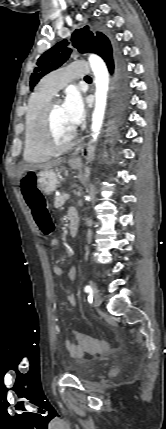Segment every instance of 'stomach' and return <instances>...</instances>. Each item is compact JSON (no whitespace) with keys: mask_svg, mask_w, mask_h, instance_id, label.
Returning <instances> with one entry per match:
<instances>
[{"mask_svg":"<svg viewBox=\"0 0 166 429\" xmlns=\"http://www.w3.org/2000/svg\"><path fill=\"white\" fill-rule=\"evenodd\" d=\"M68 163L71 168H77L79 166L78 161L69 160ZM34 175L38 185H40L41 192L45 195H51L59 185L60 175L56 170H42Z\"/></svg>","mask_w":166,"mask_h":429,"instance_id":"stomach-1","label":"stomach"}]
</instances>
